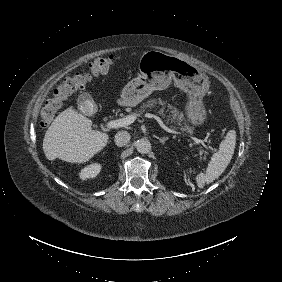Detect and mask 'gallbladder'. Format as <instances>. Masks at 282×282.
Returning <instances> with one entry per match:
<instances>
[{"label":"gallbladder","mask_w":282,"mask_h":282,"mask_svg":"<svg viewBox=\"0 0 282 282\" xmlns=\"http://www.w3.org/2000/svg\"><path fill=\"white\" fill-rule=\"evenodd\" d=\"M92 102H93V99L89 94L80 95L78 98V110L89 108Z\"/></svg>","instance_id":"obj_1"}]
</instances>
